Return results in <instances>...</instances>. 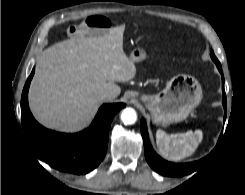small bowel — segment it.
Segmentation results:
<instances>
[{
	"mask_svg": "<svg viewBox=\"0 0 245 195\" xmlns=\"http://www.w3.org/2000/svg\"><path fill=\"white\" fill-rule=\"evenodd\" d=\"M110 25V20L105 16L90 15L81 23L70 26L67 33L72 37L81 36L87 33H100L107 30Z\"/></svg>",
	"mask_w": 245,
	"mask_h": 195,
	"instance_id": "obj_1",
	"label": "small bowel"
}]
</instances>
